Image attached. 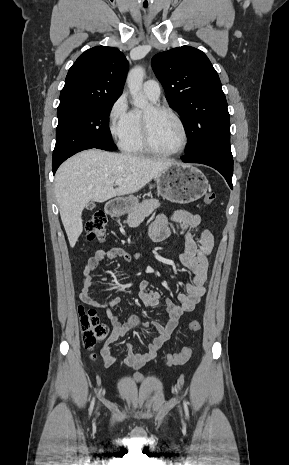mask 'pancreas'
Returning <instances> with one entry per match:
<instances>
[{
  "mask_svg": "<svg viewBox=\"0 0 289 465\" xmlns=\"http://www.w3.org/2000/svg\"><path fill=\"white\" fill-rule=\"evenodd\" d=\"M159 206L160 203L157 199L144 200L129 211L126 223L130 227L138 226L141 222H143L145 217L149 216Z\"/></svg>",
  "mask_w": 289,
  "mask_h": 465,
  "instance_id": "1",
  "label": "pancreas"
}]
</instances>
